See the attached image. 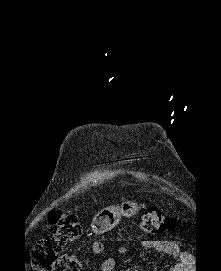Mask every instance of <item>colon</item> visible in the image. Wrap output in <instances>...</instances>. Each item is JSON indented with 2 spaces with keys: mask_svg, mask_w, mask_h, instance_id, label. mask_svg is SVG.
<instances>
[{
  "mask_svg": "<svg viewBox=\"0 0 221 271\" xmlns=\"http://www.w3.org/2000/svg\"><path fill=\"white\" fill-rule=\"evenodd\" d=\"M50 232L41 239L32 252V264L37 271H82V265L72 253L65 251L68 243L77 240L82 227L75 214L53 210L50 214ZM143 233L157 235L172 231L176 221L158 208L147 209L140 221ZM101 244L94 243L92 249L99 253Z\"/></svg>",
  "mask_w": 221,
  "mask_h": 271,
  "instance_id": "1",
  "label": "colon"
}]
</instances>
